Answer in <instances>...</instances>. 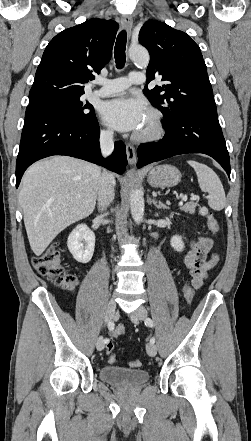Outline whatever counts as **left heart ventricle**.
<instances>
[{"mask_svg":"<svg viewBox=\"0 0 251 441\" xmlns=\"http://www.w3.org/2000/svg\"><path fill=\"white\" fill-rule=\"evenodd\" d=\"M149 126H150V120H149V117H148V115H147V118H146L145 124H144V126L142 127V129L139 131V133L146 132V131L148 130Z\"/></svg>","mask_w":251,"mask_h":441,"instance_id":"left-heart-ventricle-1","label":"left heart ventricle"}]
</instances>
